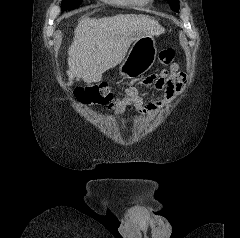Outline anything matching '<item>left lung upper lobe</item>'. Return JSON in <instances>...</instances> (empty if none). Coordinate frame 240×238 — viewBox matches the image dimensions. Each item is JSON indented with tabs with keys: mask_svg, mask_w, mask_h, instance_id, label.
Instances as JSON below:
<instances>
[{
	"mask_svg": "<svg viewBox=\"0 0 240 238\" xmlns=\"http://www.w3.org/2000/svg\"><path fill=\"white\" fill-rule=\"evenodd\" d=\"M166 1L169 2L172 10H174L175 12L179 11V0H166Z\"/></svg>",
	"mask_w": 240,
	"mask_h": 238,
	"instance_id": "5c2ea615",
	"label": "left lung upper lobe"
}]
</instances>
